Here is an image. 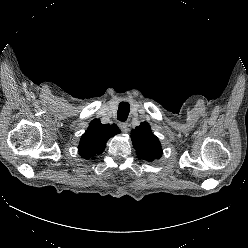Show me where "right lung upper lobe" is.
<instances>
[{
    "mask_svg": "<svg viewBox=\"0 0 248 248\" xmlns=\"http://www.w3.org/2000/svg\"><path fill=\"white\" fill-rule=\"evenodd\" d=\"M120 132L116 124H102L99 119H94L81 137L79 154L86 160L94 159L96 155L104 151L108 139Z\"/></svg>",
    "mask_w": 248,
    "mask_h": 248,
    "instance_id": "cb5924a9",
    "label": "right lung upper lobe"
}]
</instances>
